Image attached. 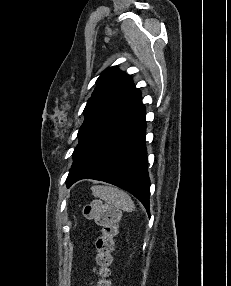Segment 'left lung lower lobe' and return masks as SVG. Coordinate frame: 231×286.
Returning <instances> with one entry per match:
<instances>
[{"label": "left lung lower lobe", "instance_id": "0a47b994", "mask_svg": "<svg viewBox=\"0 0 231 286\" xmlns=\"http://www.w3.org/2000/svg\"><path fill=\"white\" fill-rule=\"evenodd\" d=\"M145 129V108L137 90L79 141L67 186L84 178L116 185L133 194L149 214Z\"/></svg>", "mask_w": 231, "mask_h": 286}]
</instances>
